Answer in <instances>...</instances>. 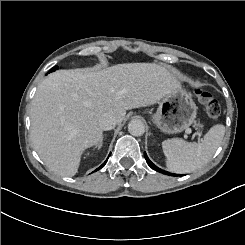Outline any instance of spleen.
Returning <instances> with one entry per match:
<instances>
[{"instance_id":"1","label":"spleen","mask_w":245,"mask_h":245,"mask_svg":"<svg viewBox=\"0 0 245 245\" xmlns=\"http://www.w3.org/2000/svg\"><path fill=\"white\" fill-rule=\"evenodd\" d=\"M225 135L223 125L213 126L201 143L172 138L162 142L170 171L183 174L202 168L213 157Z\"/></svg>"}]
</instances>
